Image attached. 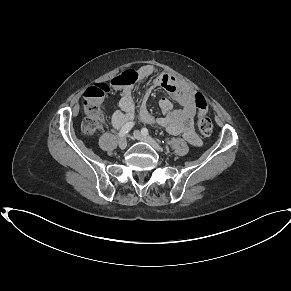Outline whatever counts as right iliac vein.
Segmentation results:
<instances>
[{
    "label": "right iliac vein",
    "mask_w": 291,
    "mask_h": 291,
    "mask_svg": "<svg viewBox=\"0 0 291 291\" xmlns=\"http://www.w3.org/2000/svg\"><path fill=\"white\" fill-rule=\"evenodd\" d=\"M119 147H120V149H125L127 147L126 137H123L119 140Z\"/></svg>",
    "instance_id": "1"
}]
</instances>
